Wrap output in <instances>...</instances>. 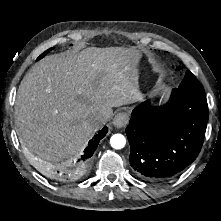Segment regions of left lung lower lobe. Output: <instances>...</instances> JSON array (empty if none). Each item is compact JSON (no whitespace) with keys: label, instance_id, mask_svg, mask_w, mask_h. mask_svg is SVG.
<instances>
[{"label":"left lung lower lobe","instance_id":"obj_1","mask_svg":"<svg viewBox=\"0 0 221 221\" xmlns=\"http://www.w3.org/2000/svg\"><path fill=\"white\" fill-rule=\"evenodd\" d=\"M208 121L205 96L173 89L169 102L137 106L126 128L131 147L130 165L136 175L149 181L177 176L198 156Z\"/></svg>","mask_w":221,"mask_h":221}]
</instances>
